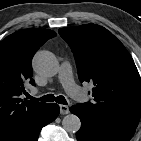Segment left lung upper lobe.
Listing matches in <instances>:
<instances>
[{
    "label": "left lung upper lobe",
    "mask_w": 141,
    "mask_h": 141,
    "mask_svg": "<svg viewBox=\"0 0 141 141\" xmlns=\"http://www.w3.org/2000/svg\"><path fill=\"white\" fill-rule=\"evenodd\" d=\"M71 47L81 82L94 85V101L81 103L101 117L136 128L141 115V78L124 45L104 27L60 28Z\"/></svg>",
    "instance_id": "obj_1"
}]
</instances>
